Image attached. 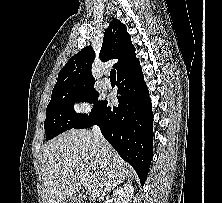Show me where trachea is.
<instances>
[{
  "label": "trachea",
  "instance_id": "trachea-1",
  "mask_svg": "<svg viewBox=\"0 0 222 203\" xmlns=\"http://www.w3.org/2000/svg\"><path fill=\"white\" fill-rule=\"evenodd\" d=\"M110 80H116V70L112 69L110 72Z\"/></svg>",
  "mask_w": 222,
  "mask_h": 203
}]
</instances>
